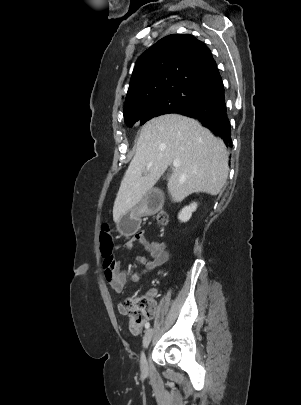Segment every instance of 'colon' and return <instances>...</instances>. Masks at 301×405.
Returning <instances> with one entry per match:
<instances>
[{
  "label": "colon",
  "mask_w": 301,
  "mask_h": 405,
  "mask_svg": "<svg viewBox=\"0 0 301 405\" xmlns=\"http://www.w3.org/2000/svg\"><path fill=\"white\" fill-rule=\"evenodd\" d=\"M156 223L164 225L167 222V215L164 212L157 213ZM100 249L104 259V265L110 266L113 261L114 244L110 229L103 225L100 231ZM125 311L129 317L130 329L138 333L146 319L155 314V305L148 299L129 298L124 304Z\"/></svg>",
  "instance_id": "5ec220e1"
}]
</instances>
